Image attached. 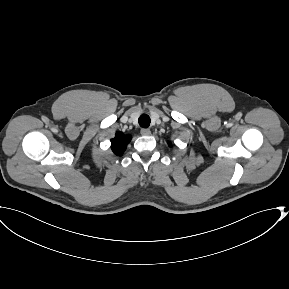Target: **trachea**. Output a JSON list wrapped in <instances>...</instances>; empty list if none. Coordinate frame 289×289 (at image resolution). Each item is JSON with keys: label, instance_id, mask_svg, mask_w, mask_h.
Wrapping results in <instances>:
<instances>
[{"label": "trachea", "instance_id": "3493384b", "mask_svg": "<svg viewBox=\"0 0 289 289\" xmlns=\"http://www.w3.org/2000/svg\"><path fill=\"white\" fill-rule=\"evenodd\" d=\"M139 125L143 128H147L150 125V117L147 114H142L138 119Z\"/></svg>", "mask_w": 289, "mask_h": 289}]
</instances>
